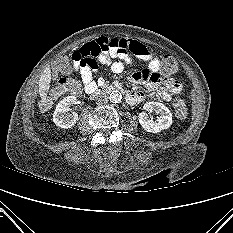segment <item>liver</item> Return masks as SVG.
I'll return each mask as SVG.
<instances>
[{"label": "liver", "instance_id": "1", "mask_svg": "<svg viewBox=\"0 0 233 233\" xmlns=\"http://www.w3.org/2000/svg\"><path fill=\"white\" fill-rule=\"evenodd\" d=\"M50 83H51V69L50 67H47L43 71V74L39 79V95L41 97L42 102H45L47 99V93L50 88Z\"/></svg>", "mask_w": 233, "mask_h": 233}]
</instances>
